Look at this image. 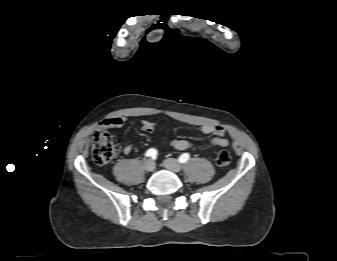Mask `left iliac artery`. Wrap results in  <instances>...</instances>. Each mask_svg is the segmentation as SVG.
<instances>
[{"label": "left iliac artery", "mask_w": 337, "mask_h": 261, "mask_svg": "<svg viewBox=\"0 0 337 261\" xmlns=\"http://www.w3.org/2000/svg\"><path fill=\"white\" fill-rule=\"evenodd\" d=\"M190 158V154L189 153H184L179 157V162L180 163H186Z\"/></svg>", "instance_id": "44dca946"}]
</instances>
